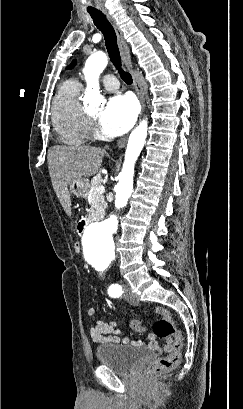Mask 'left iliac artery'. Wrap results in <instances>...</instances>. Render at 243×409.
Segmentation results:
<instances>
[{"label": "left iliac artery", "instance_id": "44dca946", "mask_svg": "<svg viewBox=\"0 0 243 409\" xmlns=\"http://www.w3.org/2000/svg\"><path fill=\"white\" fill-rule=\"evenodd\" d=\"M108 294L111 297H119L122 295V287L118 284H112L108 289Z\"/></svg>", "mask_w": 243, "mask_h": 409}]
</instances>
